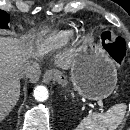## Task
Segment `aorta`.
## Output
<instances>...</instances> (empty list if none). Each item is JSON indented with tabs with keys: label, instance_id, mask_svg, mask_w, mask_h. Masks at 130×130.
<instances>
[{
	"label": "aorta",
	"instance_id": "762f6f07",
	"mask_svg": "<svg viewBox=\"0 0 130 130\" xmlns=\"http://www.w3.org/2000/svg\"><path fill=\"white\" fill-rule=\"evenodd\" d=\"M33 95H34V98L39 102L46 101L49 96L48 89L45 86H38L34 90Z\"/></svg>",
	"mask_w": 130,
	"mask_h": 130
}]
</instances>
